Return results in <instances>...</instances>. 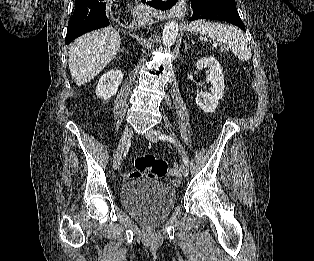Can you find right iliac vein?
Here are the masks:
<instances>
[{
	"instance_id": "1",
	"label": "right iliac vein",
	"mask_w": 314,
	"mask_h": 261,
	"mask_svg": "<svg viewBox=\"0 0 314 261\" xmlns=\"http://www.w3.org/2000/svg\"><path fill=\"white\" fill-rule=\"evenodd\" d=\"M133 136V131L131 129H127L124 131L120 142H119V148L118 151L116 152L115 156H114V168L116 170H118L120 168L121 165V159H122V151L124 149V147L127 145V143L131 140Z\"/></svg>"
}]
</instances>
